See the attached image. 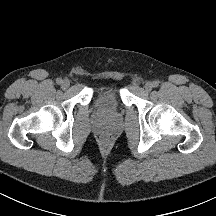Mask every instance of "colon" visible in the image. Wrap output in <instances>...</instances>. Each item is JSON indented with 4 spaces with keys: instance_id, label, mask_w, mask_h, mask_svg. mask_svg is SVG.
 I'll return each mask as SVG.
<instances>
[{
    "instance_id": "1",
    "label": "colon",
    "mask_w": 216,
    "mask_h": 216,
    "mask_svg": "<svg viewBox=\"0 0 216 216\" xmlns=\"http://www.w3.org/2000/svg\"><path fill=\"white\" fill-rule=\"evenodd\" d=\"M100 142L104 146H108L112 142V137L109 134H104L100 137Z\"/></svg>"
}]
</instances>
